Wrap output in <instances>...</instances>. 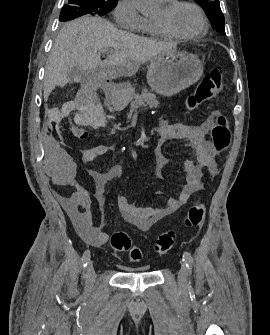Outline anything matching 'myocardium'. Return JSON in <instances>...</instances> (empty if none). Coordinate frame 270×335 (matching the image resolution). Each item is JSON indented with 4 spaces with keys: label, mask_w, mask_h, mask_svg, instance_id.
I'll return each instance as SVG.
<instances>
[{
    "label": "myocardium",
    "mask_w": 270,
    "mask_h": 335,
    "mask_svg": "<svg viewBox=\"0 0 270 335\" xmlns=\"http://www.w3.org/2000/svg\"><path fill=\"white\" fill-rule=\"evenodd\" d=\"M189 5L195 9V11L198 13L201 23H202V29L194 34H182L174 29H172L167 23L154 20V23L156 26L161 30V32L169 37L180 39V40H195L202 36H204L208 31V22L207 19L203 13V11L199 8L197 4H195L192 1H179V2H171V4L166 5L164 7L165 13L169 16L171 15L180 5ZM191 78H198V77H191Z\"/></svg>",
    "instance_id": "1"
}]
</instances>
